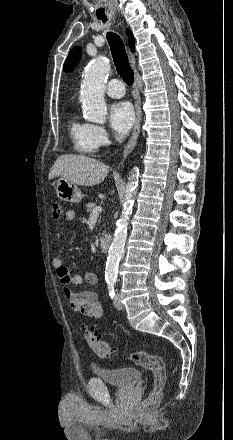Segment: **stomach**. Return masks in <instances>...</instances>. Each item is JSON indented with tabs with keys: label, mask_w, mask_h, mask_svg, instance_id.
<instances>
[{
	"label": "stomach",
	"mask_w": 233,
	"mask_h": 440,
	"mask_svg": "<svg viewBox=\"0 0 233 440\" xmlns=\"http://www.w3.org/2000/svg\"><path fill=\"white\" fill-rule=\"evenodd\" d=\"M56 193L59 199L65 202L78 203L82 200L83 195L76 184L59 178L55 184Z\"/></svg>",
	"instance_id": "obj_1"
}]
</instances>
